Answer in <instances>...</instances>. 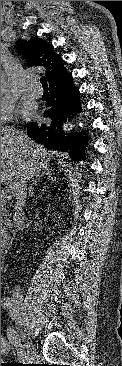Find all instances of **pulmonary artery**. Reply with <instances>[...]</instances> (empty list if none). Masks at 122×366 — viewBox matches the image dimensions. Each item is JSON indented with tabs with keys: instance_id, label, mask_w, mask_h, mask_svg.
Returning a JSON list of instances; mask_svg holds the SVG:
<instances>
[{
	"instance_id": "pulmonary-artery-1",
	"label": "pulmonary artery",
	"mask_w": 122,
	"mask_h": 366,
	"mask_svg": "<svg viewBox=\"0 0 122 366\" xmlns=\"http://www.w3.org/2000/svg\"><path fill=\"white\" fill-rule=\"evenodd\" d=\"M25 91L34 97H40L43 93L42 88L33 81L26 83Z\"/></svg>"
}]
</instances>
